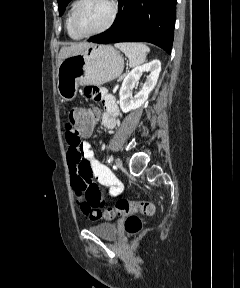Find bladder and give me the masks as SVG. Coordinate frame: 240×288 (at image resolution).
Returning <instances> with one entry per match:
<instances>
[{"label":"bladder","instance_id":"obj_1","mask_svg":"<svg viewBox=\"0 0 240 288\" xmlns=\"http://www.w3.org/2000/svg\"><path fill=\"white\" fill-rule=\"evenodd\" d=\"M89 230L105 240H115L118 236V227L113 223H99L89 226Z\"/></svg>","mask_w":240,"mask_h":288}]
</instances>
